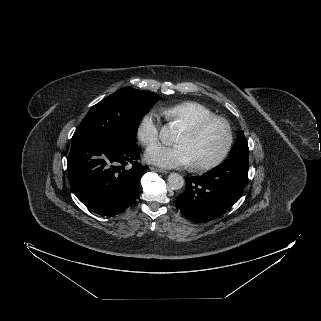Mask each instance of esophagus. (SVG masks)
Here are the masks:
<instances>
[{
  "label": "esophagus",
  "instance_id": "34e87169",
  "mask_svg": "<svg viewBox=\"0 0 321 321\" xmlns=\"http://www.w3.org/2000/svg\"><path fill=\"white\" fill-rule=\"evenodd\" d=\"M150 169H151L152 171H156V172L163 173V174H167V173H168V171H166V170L159 169V168L152 167V166L150 167Z\"/></svg>",
  "mask_w": 321,
  "mask_h": 321
}]
</instances>
